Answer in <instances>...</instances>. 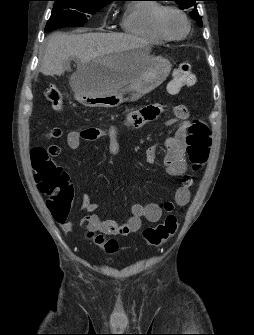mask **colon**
<instances>
[{
    "label": "colon",
    "mask_w": 254,
    "mask_h": 335,
    "mask_svg": "<svg viewBox=\"0 0 254 335\" xmlns=\"http://www.w3.org/2000/svg\"><path fill=\"white\" fill-rule=\"evenodd\" d=\"M193 82L192 65L184 62L174 69L168 90L170 93H176ZM45 96L55 111H63L62 94L58 88L53 86L48 88ZM211 143L212 136L209 127L200 120H194L189 126L186 144L188 158L195 171L199 170L208 160ZM59 152L58 146L48 149L35 147L30 152V159L35 174V184L42 194L48 196V209L53 216L60 215L65 218L73 199V190L67 172L52 160V157L57 156ZM178 224V217L169 214L157 226L145 228L143 238L148 245L158 246L176 233ZM89 236L107 253H115L118 249L115 239L105 240L102 235H95L92 232H89Z\"/></svg>",
    "instance_id": "obj_1"
}]
</instances>
